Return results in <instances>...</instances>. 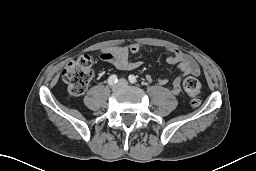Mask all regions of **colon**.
Listing matches in <instances>:
<instances>
[{
    "label": "colon",
    "instance_id": "1",
    "mask_svg": "<svg viewBox=\"0 0 256 171\" xmlns=\"http://www.w3.org/2000/svg\"><path fill=\"white\" fill-rule=\"evenodd\" d=\"M94 75V58L89 54L82 55L77 60L68 63L63 72L62 79L68 85L70 97L81 95ZM184 91L192 107L201 103V84L194 78L185 79Z\"/></svg>",
    "mask_w": 256,
    "mask_h": 171
}]
</instances>
